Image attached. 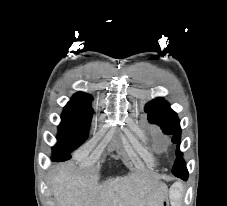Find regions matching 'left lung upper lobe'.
<instances>
[{"mask_svg": "<svg viewBox=\"0 0 227 206\" xmlns=\"http://www.w3.org/2000/svg\"><path fill=\"white\" fill-rule=\"evenodd\" d=\"M145 111L150 114V122L160 125L164 133L173 134V143L180 141V120L178 119L177 114L170 108L168 102L163 98H156L146 104ZM176 156L177 159L174 162L172 173L187 171L182 153L179 149L176 151Z\"/></svg>", "mask_w": 227, "mask_h": 206, "instance_id": "1", "label": "left lung upper lobe"}]
</instances>
